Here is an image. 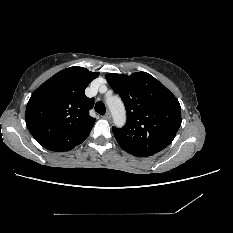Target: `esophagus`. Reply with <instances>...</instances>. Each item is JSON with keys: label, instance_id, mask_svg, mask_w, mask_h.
<instances>
[{"label": "esophagus", "instance_id": "1", "mask_svg": "<svg viewBox=\"0 0 233 233\" xmlns=\"http://www.w3.org/2000/svg\"><path fill=\"white\" fill-rule=\"evenodd\" d=\"M105 119H110L111 118V113L110 112H107L104 116Z\"/></svg>", "mask_w": 233, "mask_h": 233}]
</instances>
